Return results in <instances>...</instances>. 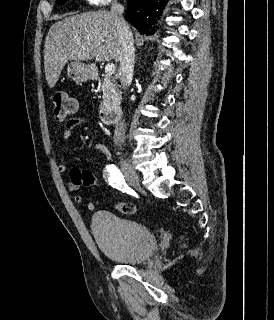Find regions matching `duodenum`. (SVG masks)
<instances>
[{
	"label": "duodenum",
	"mask_w": 274,
	"mask_h": 320,
	"mask_svg": "<svg viewBox=\"0 0 274 320\" xmlns=\"http://www.w3.org/2000/svg\"><path fill=\"white\" fill-rule=\"evenodd\" d=\"M121 114V108L118 106H113L103 109L100 112V117L103 123L114 124L120 120Z\"/></svg>",
	"instance_id": "410a0bca"
}]
</instances>
